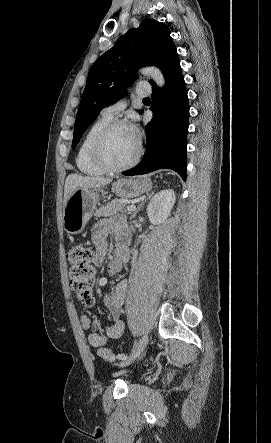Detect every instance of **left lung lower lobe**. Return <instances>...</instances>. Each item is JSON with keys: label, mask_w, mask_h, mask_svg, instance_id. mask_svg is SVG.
Wrapping results in <instances>:
<instances>
[{"label": "left lung lower lobe", "mask_w": 271, "mask_h": 443, "mask_svg": "<svg viewBox=\"0 0 271 443\" xmlns=\"http://www.w3.org/2000/svg\"><path fill=\"white\" fill-rule=\"evenodd\" d=\"M165 77L159 90L153 80L152 120L146 125V151L141 162L123 175H142L169 168L186 180L189 105L176 47L158 63ZM143 112V111H141Z\"/></svg>", "instance_id": "1"}]
</instances>
